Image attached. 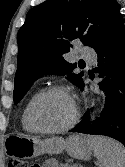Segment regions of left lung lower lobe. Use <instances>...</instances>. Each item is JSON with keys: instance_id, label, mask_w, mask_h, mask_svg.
Masks as SVG:
<instances>
[{"instance_id": "obj_1", "label": "left lung lower lobe", "mask_w": 125, "mask_h": 167, "mask_svg": "<svg viewBox=\"0 0 125 167\" xmlns=\"http://www.w3.org/2000/svg\"><path fill=\"white\" fill-rule=\"evenodd\" d=\"M98 54L99 83L106 101L98 120L89 114L70 132L112 137L125 146V27L122 15L111 26L105 39L95 48Z\"/></svg>"}]
</instances>
